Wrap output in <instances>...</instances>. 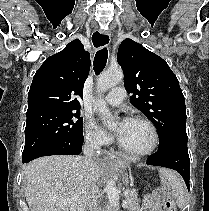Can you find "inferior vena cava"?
Returning a JSON list of instances; mask_svg holds the SVG:
<instances>
[{
	"label": "inferior vena cava",
	"mask_w": 209,
	"mask_h": 211,
	"mask_svg": "<svg viewBox=\"0 0 209 211\" xmlns=\"http://www.w3.org/2000/svg\"><path fill=\"white\" fill-rule=\"evenodd\" d=\"M99 149L98 139H88L83 146V156L77 157L76 161L86 173L91 182V189L89 192L86 211H100L98 208L99 190L96 186V177L94 174L95 164L93 157L95 151Z\"/></svg>",
	"instance_id": "obj_1"
}]
</instances>
